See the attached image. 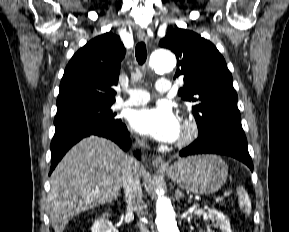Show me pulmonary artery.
Instances as JSON below:
<instances>
[{
	"instance_id": "e3ab8cb5",
	"label": "pulmonary artery",
	"mask_w": 289,
	"mask_h": 232,
	"mask_svg": "<svg viewBox=\"0 0 289 232\" xmlns=\"http://www.w3.org/2000/svg\"><path fill=\"white\" fill-rule=\"evenodd\" d=\"M171 89V83L168 79L161 78L156 82V90L159 93H168ZM129 98L119 104V107H131L147 103L150 100V94L141 89H131Z\"/></svg>"
}]
</instances>
